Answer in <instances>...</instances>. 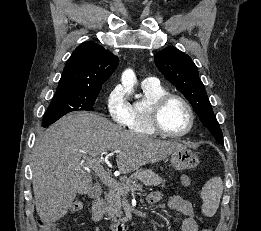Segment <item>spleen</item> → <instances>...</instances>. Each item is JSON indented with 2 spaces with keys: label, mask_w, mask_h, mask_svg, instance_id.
<instances>
[{
  "label": "spleen",
  "mask_w": 261,
  "mask_h": 231,
  "mask_svg": "<svg viewBox=\"0 0 261 231\" xmlns=\"http://www.w3.org/2000/svg\"><path fill=\"white\" fill-rule=\"evenodd\" d=\"M223 192V182L220 177H213L208 180L201 190V197L203 200L202 212L212 217L218 207L220 198Z\"/></svg>",
  "instance_id": "spleen-1"
}]
</instances>
